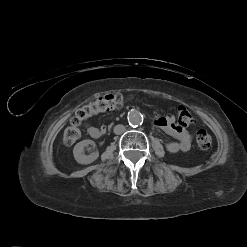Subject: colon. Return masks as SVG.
<instances>
[{"label":"colon","mask_w":247,"mask_h":247,"mask_svg":"<svg viewBox=\"0 0 247 247\" xmlns=\"http://www.w3.org/2000/svg\"><path fill=\"white\" fill-rule=\"evenodd\" d=\"M125 102L126 99L122 94L114 93L102 96L79 108L72 117L70 126H68L64 131V144L70 146L79 139L81 135L79 127L82 122L98 113L120 109L123 107ZM194 122L195 119L193 115L186 108L180 107L178 110L179 126L183 128L188 127L194 124ZM196 143L200 149L208 150L212 145V137L207 131L199 130L196 134Z\"/></svg>","instance_id":"1"}]
</instances>
